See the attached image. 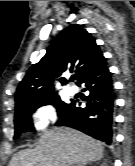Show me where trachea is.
<instances>
[{
	"instance_id": "1",
	"label": "trachea",
	"mask_w": 135,
	"mask_h": 166,
	"mask_svg": "<svg viewBox=\"0 0 135 166\" xmlns=\"http://www.w3.org/2000/svg\"><path fill=\"white\" fill-rule=\"evenodd\" d=\"M72 80H75V77H72Z\"/></svg>"
}]
</instances>
